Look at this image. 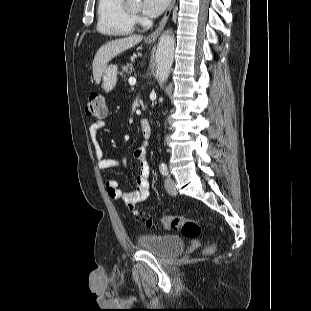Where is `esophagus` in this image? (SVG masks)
I'll use <instances>...</instances> for the list:
<instances>
[{
    "label": "esophagus",
    "instance_id": "1",
    "mask_svg": "<svg viewBox=\"0 0 311 311\" xmlns=\"http://www.w3.org/2000/svg\"><path fill=\"white\" fill-rule=\"evenodd\" d=\"M174 4H175V0H171V3L169 5V7L167 8L165 15L163 16L158 28L154 32H152L151 34H149L147 36V38H146L147 41H155L158 38V36L162 32V30H163V28H164V26H165V24H166V22L170 16V13L174 7Z\"/></svg>",
    "mask_w": 311,
    "mask_h": 311
}]
</instances>
